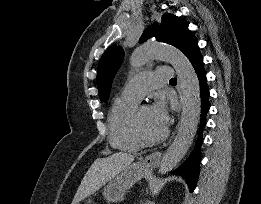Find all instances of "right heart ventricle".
Masks as SVG:
<instances>
[{"label": "right heart ventricle", "instance_id": "obj_1", "mask_svg": "<svg viewBox=\"0 0 261 204\" xmlns=\"http://www.w3.org/2000/svg\"><path fill=\"white\" fill-rule=\"evenodd\" d=\"M137 106V101L118 97L110 108L108 114L109 141L118 150L137 152L143 147L133 125Z\"/></svg>", "mask_w": 261, "mask_h": 204}]
</instances>
